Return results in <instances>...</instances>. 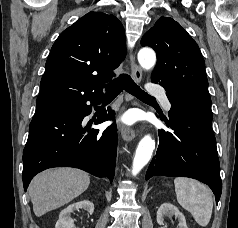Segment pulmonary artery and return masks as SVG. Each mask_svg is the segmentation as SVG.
Wrapping results in <instances>:
<instances>
[{"instance_id": "e3ab8cb5", "label": "pulmonary artery", "mask_w": 238, "mask_h": 228, "mask_svg": "<svg viewBox=\"0 0 238 228\" xmlns=\"http://www.w3.org/2000/svg\"><path fill=\"white\" fill-rule=\"evenodd\" d=\"M147 90H148V94H150V95L152 94V95H159V96H161L163 104H164V108L166 110H170L171 104H170L169 100L167 99V97L164 95V91H163V89L160 86H158V85H156L154 83H150L147 86Z\"/></svg>"}]
</instances>
